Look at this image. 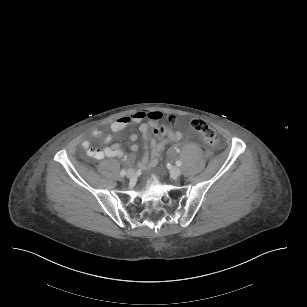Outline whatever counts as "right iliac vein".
<instances>
[{
    "instance_id": "63e3f726",
    "label": "right iliac vein",
    "mask_w": 307,
    "mask_h": 307,
    "mask_svg": "<svg viewBox=\"0 0 307 307\" xmlns=\"http://www.w3.org/2000/svg\"><path fill=\"white\" fill-rule=\"evenodd\" d=\"M135 175H136V172H135L134 169L130 168V169L127 170L126 176H127L128 178L131 179V178H133Z\"/></svg>"
}]
</instances>
